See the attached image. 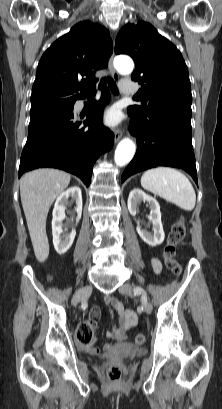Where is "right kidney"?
<instances>
[{"label": "right kidney", "instance_id": "1", "mask_svg": "<svg viewBox=\"0 0 222 409\" xmlns=\"http://www.w3.org/2000/svg\"><path fill=\"white\" fill-rule=\"evenodd\" d=\"M75 201L76 207L74 212H71L72 219L66 224H63L65 219V210L68 199ZM82 215V194L78 186H73L62 192L54 205L53 219H52V235L53 244L56 252L60 255L65 254L73 244L76 230L73 227V218L76 219V224L79 222ZM66 227H72L71 232L66 231Z\"/></svg>", "mask_w": 222, "mask_h": 409}]
</instances>
